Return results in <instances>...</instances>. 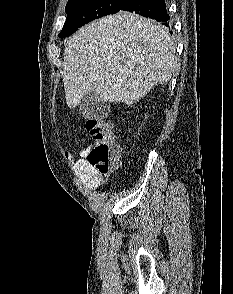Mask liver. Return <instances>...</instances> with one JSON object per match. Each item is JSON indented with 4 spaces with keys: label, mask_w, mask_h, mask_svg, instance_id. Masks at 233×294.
<instances>
[{
    "label": "liver",
    "mask_w": 233,
    "mask_h": 294,
    "mask_svg": "<svg viewBox=\"0 0 233 294\" xmlns=\"http://www.w3.org/2000/svg\"><path fill=\"white\" fill-rule=\"evenodd\" d=\"M176 65V48L164 26L120 11L69 38L63 62L67 105L75 108L90 91L102 102L133 105L167 83Z\"/></svg>",
    "instance_id": "1"
}]
</instances>
